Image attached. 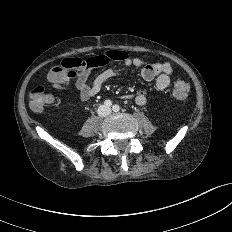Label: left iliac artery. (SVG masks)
Segmentation results:
<instances>
[{
    "label": "left iliac artery",
    "instance_id": "1",
    "mask_svg": "<svg viewBox=\"0 0 232 232\" xmlns=\"http://www.w3.org/2000/svg\"><path fill=\"white\" fill-rule=\"evenodd\" d=\"M120 110V107L118 105L113 106V111L118 112Z\"/></svg>",
    "mask_w": 232,
    "mask_h": 232
}]
</instances>
